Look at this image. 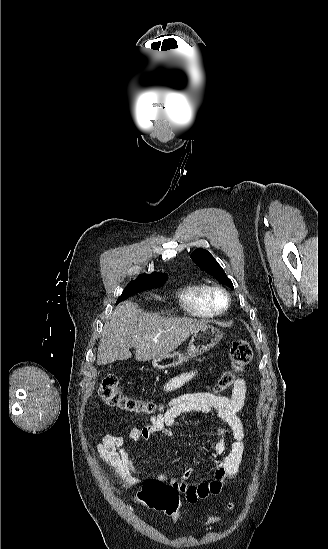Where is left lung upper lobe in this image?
Masks as SVG:
<instances>
[{"label":"left lung upper lobe","instance_id":"5c2ea615","mask_svg":"<svg viewBox=\"0 0 328 549\" xmlns=\"http://www.w3.org/2000/svg\"><path fill=\"white\" fill-rule=\"evenodd\" d=\"M193 261L205 272L212 275L214 278L223 284L234 288L232 281L227 277L223 268L218 264L214 257L205 249L198 248L192 252Z\"/></svg>","mask_w":328,"mask_h":549}]
</instances>
